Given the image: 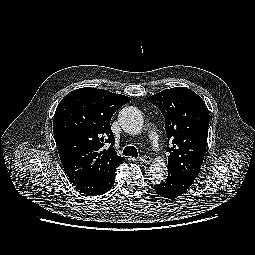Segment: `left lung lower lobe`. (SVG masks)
<instances>
[{"label": "left lung lower lobe", "mask_w": 255, "mask_h": 255, "mask_svg": "<svg viewBox=\"0 0 255 255\" xmlns=\"http://www.w3.org/2000/svg\"><path fill=\"white\" fill-rule=\"evenodd\" d=\"M189 179L181 178L168 173L165 182L155 185L154 189L157 194L167 199H174L183 193L192 185Z\"/></svg>", "instance_id": "obj_1"}]
</instances>
